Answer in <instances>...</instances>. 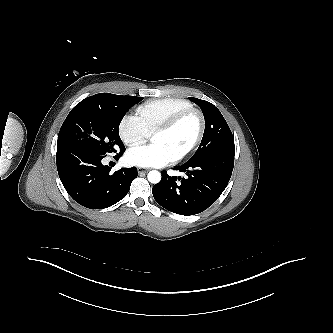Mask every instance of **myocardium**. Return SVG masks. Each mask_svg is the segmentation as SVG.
Here are the masks:
<instances>
[{
  "instance_id": "obj_1",
  "label": "myocardium",
  "mask_w": 333,
  "mask_h": 333,
  "mask_svg": "<svg viewBox=\"0 0 333 333\" xmlns=\"http://www.w3.org/2000/svg\"><path fill=\"white\" fill-rule=\"evenodd\" d=\"M190 116H195L198 120V129L196 136L191 143V145L185 149L183 152L180 154L176 155L175 157L172 158L171 162L172 163H178L186 158H188L199 146L201 143V140L203 138L204 132H205V127H206V122H205V117L204 114L202 113L201 110L197 108H190L187 110H184L175 116L171 117L168 119L166 122L158 126L154 130V134L158 132H168L174 129L177 125H179L183 120Z\"/></svg>"
}]
</instances>
